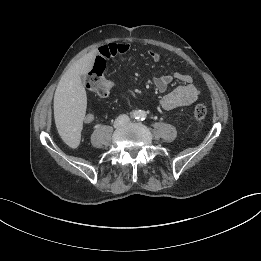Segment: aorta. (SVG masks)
<instances>
[{
  "instance_id": "762f6f07",
  "label": "aorta",
  "mask_w": 261,
  "mask_h": 261,
  "mask_svg": "<svg viewBox=\"0 0 261 261\" xmlns=\"http://www.w3.org/2000/svg\"><path fill=\"white\" fill-rule=\"evenodd\" d=\"M138 117H140V118L145 117V113L140 111V112L138 113Z\"/></svg>"
}]
</instances>
